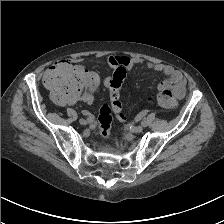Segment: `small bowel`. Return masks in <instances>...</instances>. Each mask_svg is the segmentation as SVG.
<instances>
[{
	"mask_svg": "<svg viewBox=\"0 0 224 224\" xmlns=\"http://www.w3.org/2000/svg\"><path fill=\"white\" fill-rule=\"evenodd\" d=\"M82 59L77 58L74 60L76 63H80ZM107 63L111 68H119L122 67L126 70H131L136 65H142L146 68L155 71L161 72L167 76L166 79L161 81L158 84V90L165 91L170 90L176 96V98H183L186 93V80L181 72L173 69L171 66L160 64V63H152L144 61L140 58H133L129 56H120V55H111L107 58ZM125 117L123 115L120 121H124Z\"/></svg>",
	"mask_w": 224,
	"mask_h": 224,
	"instance_id": "small-bowel-1",
	"label": "small bowel"
}]
</instances>
